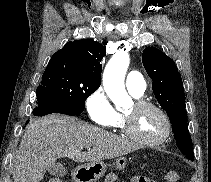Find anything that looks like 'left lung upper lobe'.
Wrapping results in <instances>:
<instances>
[{"instance_id":"1","label":"left lung upper lobe","mask_w":211,"mask_h":182,"mask_svg":"<svg viewBox=\"0 0 211 182\" xmlns=\"http://www.w3.org/2000/svg\"><path fill=\"white\" fill-rule=\"evenodd\" d=\"M142 62L153 81V93L172 123L178 148L188 159L194 161L192 141L187 126L184 88L177 66L170 57L154 47L144 49Z\"/></svg>"}]
</instances>
